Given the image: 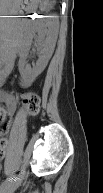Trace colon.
Returning a JSON list of instances; mask_svg holds the SVG:
<instances>
[{"label":"colon","mask_w":103,"mask_h":193,"mask_svg":"<svg viewBox=\"0 0 103 193\" xmlns=\"http://www.w3.org/2000/svg\"><path fill=\"white\" fill-rule=\"evenodd\" d=\"M24 107L28 115H36L40 108V98L35 92H25L22 94ZM10 115L1 112V139H0V154L4 155L8 147V139L6 134L10 123Z\"/></svg>","instance_id":"colon-1"}]
</instances>
